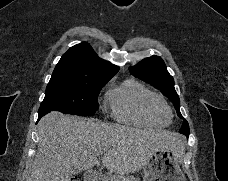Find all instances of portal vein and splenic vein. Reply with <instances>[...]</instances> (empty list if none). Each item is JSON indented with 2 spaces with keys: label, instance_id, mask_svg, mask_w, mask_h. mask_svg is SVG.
<instances>
[{
  "label": "portal vein and splenic vein",
  "instance_id": "obj_1",
  "mask_svg": "<svg viewBox=\"0 0 228 181\" xmlns=\"http://www.w3.org/2000/svg\"><path fill=\"white\" fill-rule=\"evenodd\" d=\"M107 149H102V151H99V153H97V155H103V153H106Z\"/></svg>",
  "mask_w": 228,
  "mask_h": 181
}]
</instances>
